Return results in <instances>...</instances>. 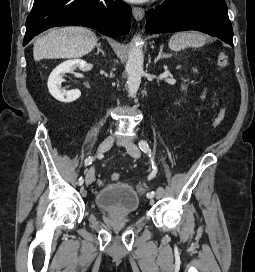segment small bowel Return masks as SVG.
<instances>
[{"mask_svg": "<svg viewBox=\"0 0 255 272\" xmlns=\"http://www.w3.org/2000/svg\"><path fill=\"white\" fill-rule=\"evenodd\" d=\"M193 72H194V73H197V70H196V69H193ZM204 95H205V92L202 93L201 97L203 98Z\"/></svg>", "mask_w": 255, "mask_h": 272, "instance_id": "c3829d8e", "label": "small bowel"}]
</instances>
